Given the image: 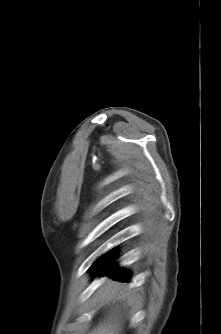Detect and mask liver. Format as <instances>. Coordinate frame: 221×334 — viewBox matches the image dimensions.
<instances>
[{
	"label": "liver",
	"mask_w": 221,
	"mask_h": 334,
	"mask_svg": "<svg viewBox=\"0 0 221 334\" xmlns=\"http://www.w3.org/2000/svg\"><path fill=\"white\" fill-rule=\"evenodd\" d=\"M102 291L103 298L106 301L115 298L121 299V303L126 299H128V302L131 301L130 292L126 290L123 285L117 284L116 282L107 280ZM121 316L120 307L117 305L108 318L88 334H119L121 329Z\"/></svg>",
	"instance_id": "obj_1"
}]
</instances>
